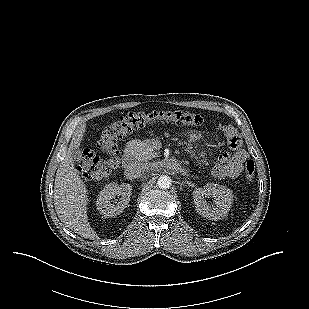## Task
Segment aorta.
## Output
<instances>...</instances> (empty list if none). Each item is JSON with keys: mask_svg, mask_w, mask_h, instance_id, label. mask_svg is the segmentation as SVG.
I'll use <instances>...</instances> for the list:
<instances>
[{"mask_svg": "<svg viewBox=\"0 0 309 309\" xmlns=\"http://www.w3.org/2000/svg\"><path fill=\"white\" fill-rule=\"evenodd\" d=\"M171 182H172V180H171V178L169 176L163 175V176L159 177V179L157 181V185L161 189H168L172 185Z\"/></svg>", "mask_w": 309, "mask_h": 309, "instance_id": "1", "label": "aorta"}]
</instances>
